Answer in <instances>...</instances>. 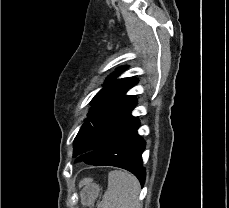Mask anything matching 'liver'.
Wrapping results in <instances>:
<instances>
[{
  "label": "liver",
  "instance_id": "1",
  "mask_svg": "<svg viewBox=\"0 0 229 208\" xmlns=\"http://www.w3.org/2000/svg\"><path fill=\"white\" fill-rule=\"evenodd\" d=\"M87 180H89V178H85V180H82V182H80V186H85Z\"/></svg>",
  "mask_w": 229,
  "mask_h": 208
}]
</instances>
